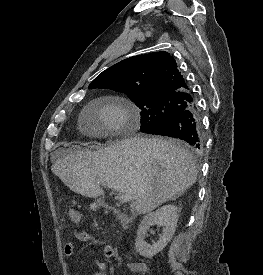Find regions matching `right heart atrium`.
<instances>
[{
  "label": "right heart atrium",
  "instance_id": "right-heart-atrium-1",
  "mask_svg": "<svg viewBox=\"0 0 263 275\" xmlns=\"http://www.w3.org/2000/svg\"><path fill=\"white\" fill-rule=\"evenodd\" d=\"M99 116L102 124L108 130L121 129L127 125V112L117 104H110L102 108Z\"/></svg>",
  "mask_w": 263,
  "mask_h": 275
}]
</instances>
